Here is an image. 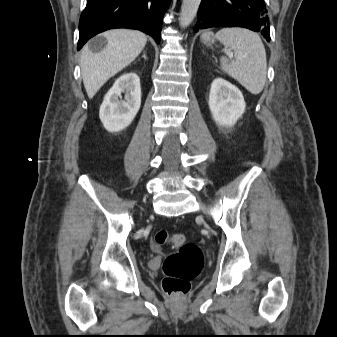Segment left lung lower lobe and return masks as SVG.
<instances>
[{
	"mask_svg": "<svg viewBox=\"0 0 337 337\" xmlns=\"http://www.w3.org/2000/svg\"><path fill=\"white\" fill-rule=\"evenodd\" d=\"M194 28L244 27L270 41L269 18L264 0H202Z\"/></svg>",
	"mask_w": 337,
	"mask_h": 337,
	"instance_id": "1",
	"label": "left lung lower lobe"
}]
</instances>
